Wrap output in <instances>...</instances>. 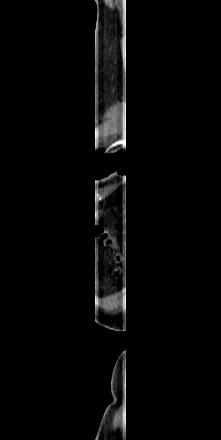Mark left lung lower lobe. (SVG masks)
Instances as JSON below:
<instances>
[{
  "mask_svg": "<svg viewBox=\"0 0 221 440\" xmlns=\"http://www.w3.org/2000/svg\"><path fill=\"white\" fill-rule=\"evenodd\" d=\"M146 164L142 156L133 150H129L123 158L108 168L96 172L97 177L107 176L108 174L118 171L127 175L140 176Z\"/></svg>",
  "mask_w": 221,
  "mask_h": 440,
  "instance_id": "0a47b994",
  "label": "left lung lower lobe"
}]
</instances>
